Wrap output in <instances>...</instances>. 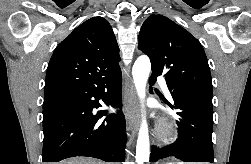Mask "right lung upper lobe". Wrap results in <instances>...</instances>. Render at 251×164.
Listing matches in <instances>:
<instances>
[{
	"label": "right lung upper lobe",
	"mask_w": 251,
	"mask_h": 164,
	"mask_svg": "<svg viewBox=\"0 0 251 164\" xmlns=\"http://www.w3.org/2000/svg\"><path fill=\"white\" fill-rule=\"evenodd\" d=\"M119 47L109 22L93 17L74 29L54 50L45 93L108 76L119 69Z\"/></svg>",
	"instance_id": "obj_1"
}]
</instances>
